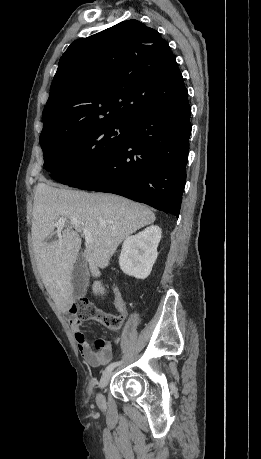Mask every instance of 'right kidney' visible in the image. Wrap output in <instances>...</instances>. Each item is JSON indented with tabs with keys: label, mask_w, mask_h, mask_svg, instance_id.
Returning <instances> with one entry per match:
<instances>
[{
	"label": "right kidney",
	"mask_w": 261,
	"mask_h": 459,
	"mask_svg": "<svg viewBox=\"0 0 261 459\" xmlns=\"http://www.w3.org/2000/svg\"><path fill=\"white\" fill-rule=\"evenodd\" d=\"M161 239L159 226L147 227L134 236L127 237L122 244L119 257L121 270L137 279H145L156 261L157 247Z\"/></svg>",
	"instance_id": "ca27d5eb"
}]
</instances>
